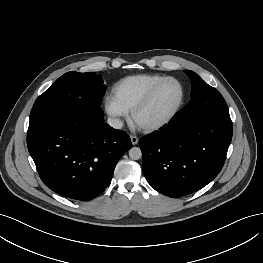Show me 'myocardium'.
<instances>
[{"instance_id": "1", "label": "myocardium", "mask_w": 263, "mask_h": 263, "mask_svg": "<svg viewBox=\"0 0 263 263\" xmlns=\"http://www.w3.org/2000/svg\"><path fill=\"white\" fill-rule=\"evenodd\" d=\"M169 80H173L176 81L182 89V97L181 100L179 102V104L177 105V107L166 117H164L163 119H160L158 121L149 123V124H138L136 122V118L137 116L143 111L145 110L148 105L151 103L155 93L157 92V90L161 87V85L163 83H165L166 81ZM186 98H187V89L185 84L177 77L174 76H166L163 77L161 80H159L157 83H155L150 89L149 91L146 93V95L143 97V99L131 110V114H130V118L131 121L142 131L146 132V133H151L154 131H157L161 128H163L164 126H166L167 124H169L173 119H175V117L180 113V111L182 110L185 102H186Z\"/></svg>"}]
</instances>
